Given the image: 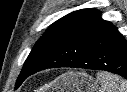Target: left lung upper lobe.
<instances>
[{
	"label": "left lung upper lobe",
	"instance_id": "left-lung-upper-lobe-1",
	"mask_svg": "<svg viewBox=\"0 0 127 92\" xmlns=\"http://www.w3.org/2000/svg\"><path fill=\"white\" fill-rule=\"evenodd\" d=\"M99 21H101L99 11L83 9L54 22L31 50L17 79L15 89L55 50Z\"/></svg>",
	"mask_w": 127,
	"mask_h": 92
}]
</instances>
